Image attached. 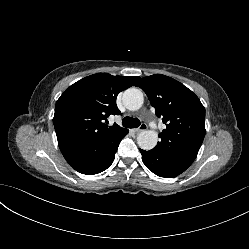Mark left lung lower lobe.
Masks as SVG:
<instances>
[{"label": "left lung lower lobe", "mask_w": 249, "mask_h": 249, "mask_svg": "<svg viewBox=\"0 0 249 249\" xmlns=\"http://www.w3.org/2000/svg\"><path fill=\"white\" fill-rule=\"evenodd\" d=\"M139 150L142 154V161L145 166L154 174L161 177H176L183 173L194 161V159L184 156L169 155L153 150Z\"/></svg>", "instance_id": "1"}]
</instances>
